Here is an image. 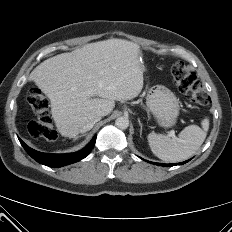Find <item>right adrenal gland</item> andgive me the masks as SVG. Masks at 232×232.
<instances>
[{
    "mask_svg": "<svg viewBox=\"0 0 232 232\" xmlns=\"http://www.w3.org/2000/svg\"><path fill=\"white\" fill-rule=\"evenodd\" d=\"M84 135H86V134H82V135L77 136V137L75 138V140L78 139V138H80V137H82V136H84Z\"/></svg>",
    "mask_w": 232,
    "mask_h": 232,
    "instance_id": "right-adrenal-gland-1",
    "label": "right adrenal gland"
}]
</instances>
